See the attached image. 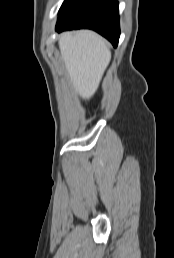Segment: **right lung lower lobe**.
I'll use <instances>...</instances> for the list:
<instances>
[{
    "instance_id": "1",
    "label": "right lung lower lobe",
    "mask_w": 174,
    "mask_h": 258,
    "mask_svg": "<svg viewBox=\"0 0 174 258\" xmlns=\"http://www.w3.org/2000/svg\"><path fill=\"white\" fill-rule=\"evenodd\" d=\"M88 28L117 47L120 36L117 0H69L59 11L56 31Z\"/></svg>"
}]
</instances>
